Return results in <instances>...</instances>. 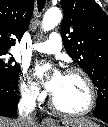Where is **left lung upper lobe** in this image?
<instances>
[{
	"label": "left lung upper lobe",
	"instance_id": "1",
	"mask_svg": "<svg viewBox=\"0 0 108 127\" xmlns=\"http://www.w3.org/2000/svg\"><path fill=\"white\" fill-rule=\"evenodd\" d=\"M63 44L98 88L97 104L108 105V16L91 0H61Z\"/></svg>",
	"mask_w": 108,
	"mask_h": 127
}]
</instances>
